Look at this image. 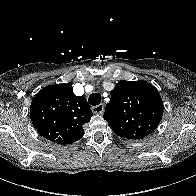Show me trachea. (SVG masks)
Masks as SVG:
<instances>
[{"label": "trachea", "instance_id": "3493384b", "mask_svg": "<svg viewBox=\"0 0 196 196\" xmlns=\"http://www.w3.org/2000/svg\"><path fill=\"white\" fill-rule=\"evenodd\" d=\"M101 94L100 93H92L89 98H88V101L89 103L92 105V106H96L98 104H100L101 102Z\"/></svg>", "mask_w": 196, "mask_h": 196}]
</instances>
